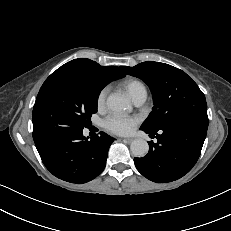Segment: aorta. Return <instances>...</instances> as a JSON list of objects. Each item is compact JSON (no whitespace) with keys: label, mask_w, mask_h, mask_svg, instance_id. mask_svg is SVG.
<instances>
[{"label":"aorta","mask_w":231,"mask_h":231,"mask_svg":"<svg viewBox=\"0 0 231 231\" xmlns=\"http://www.w3.org/2000/svg\"><path fill=\"white\" fill-rule=\"evenodd\" d=\"M106 103L115 113H121L130 108L129 101L120 94H110ZM130 149L135 157H144L149 151V144L144 139H135L131 142Z\"/></svg>","instance_id":"obj_1"}]
</instances>
